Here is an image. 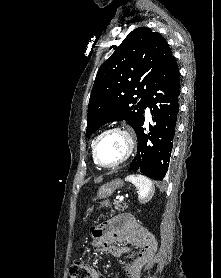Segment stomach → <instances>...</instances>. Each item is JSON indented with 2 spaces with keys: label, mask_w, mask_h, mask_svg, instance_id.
Masks as SVG:
<instances>
[{
  "label": "stomach",
  "mask_w": 221,
  "mask_h": 278,
  "mask_svg": "<svg viewBox=\"0 0 221 278\" xmlns=\"http://www.w3.org/2000/svg\"><path fill=\"white\" fill-rule=\"evenodd\" d=\"M122 185H123V182L120 179H116L110 183L102 185L97 192V199H103V198L111 196L114 193V191L116 189H118L119 187H121ZM92 210H93V207L89 208L88 211L92 212Z\"/></svg>",
  "instance_id": "0dacf381"
}]
</instances>
